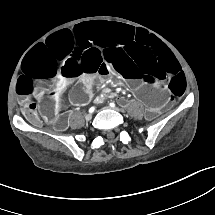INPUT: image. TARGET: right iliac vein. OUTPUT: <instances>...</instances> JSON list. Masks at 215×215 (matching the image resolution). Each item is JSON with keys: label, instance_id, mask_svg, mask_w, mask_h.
<instances>
[{"label": "right iliac vein", "instance_id": "1", "mask_svg": "<svg viewBox=\"0 0 215 215\" xmlns=\"http://www.w3.org/2000/svg\"><path fill=\"white\" fill-rule=\"evenodd\" d=\"M92 118V115L91 114H87L86 116H85V119L86 120H90Z\"/></svg>", "mask_w": 215, "mask_h": 215}]
</instances>
